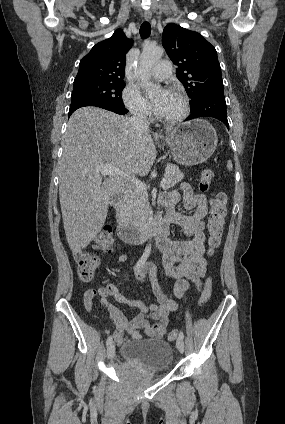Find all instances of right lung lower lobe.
<instances>
[{
    "label": "right lung lower lobe",
    "instance_id": "1",
    "mask_svg": "<svg viewBox=\"0 0 285 424\" xmlns=\"http://www.w3.org/2000/svg\"><path fill=\"white\" fill-rule=\"evenodd\" d=\"M84 106L100 107V108L115 112V113L120 114V115L126 114L128 112L124 107L112 105V104L107 103V102L94 100V99H77V100H71V105H70V109H69V116L76 109L84 107Z\"/></svg>",
    "mask_w": 285,
    "mask_h": 424
}]
</instances>
